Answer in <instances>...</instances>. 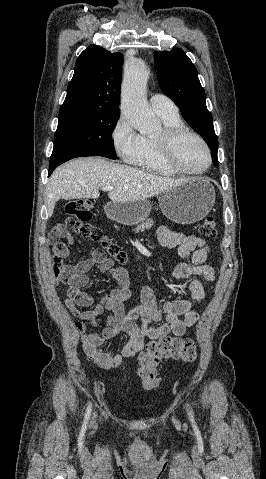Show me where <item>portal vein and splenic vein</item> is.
<instances>
[{"mask_svg":"<svg viewBox=\"0 0 266 479\" xmlns=\"http://www.w3.org/2000/svg\"><path fill=\"white\" fill-rule=\"evenodd\" d=\"M103 191H111L113 190L114 188L112 186H105L103 188H101Z\"/></svg>","mask_w":266,"mask_h":479,"instance_id":"18ae733b","label":"portal vein and splenic vein"}]
</instances>
